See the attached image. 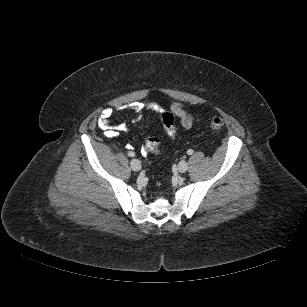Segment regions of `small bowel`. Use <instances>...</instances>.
Segmentation results:
<instances>
[{
	"instance_id": "obj_1",
	"label": "small bowel",
	"mask_w": 307,
	"mask_h": 307,
	"mask_svg": "<svg viewBox=\"0 0 307 307\" xmlns=\"http://www.w3.org/2000/svg\"><path fill=\"white\" fill-rule=\"evenodd\" d=\"M145 109H150L154 111H162L157 104L154 103H143V102H133L122 106L119 110H131L136 113V119H140L143 115ZM172 113L179 119L182 127L189 129L198 120L192 114L188 113L181 103H173L170 107ZM113 111L111 108L104 109L97 118V125L103 131V134L108 138L117 137L122 132H128L129 127L124 124L111 125L110 119L112 117ZM131 152V151H129ZM143 153H146V149H143Z\"/></svg>"
}]
</instances>
